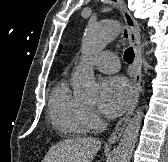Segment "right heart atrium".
Listing matches in <instances>:
<instances>
[{
    "label": "right heart atrium",
    "mask_w": 168,
    "mask_h": 162,
    "mask_svg": "<svg viewBox=\"0 0 168 162\" xmlns=\"http://www.w3.org/2000/svg\"><path fill=\"white\" fill-rule=\"evenodd\" d=\"M84 117L86 124L90 128H97L100 125V119L96 111L94 110L93 107L91 106H86L85 107V112H84Z\"/></svg>",
    "instance_id": "1"
}]
</instances>
